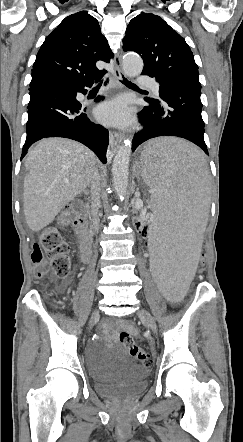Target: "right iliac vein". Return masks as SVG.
<instances>
[{
    "mask_svg": "<svg viewBox=\"0 0 243 442\" xmlns=\"http://www.w3.org/2000/svg\"><path fill=\"white\" fill-rule=\"evenodd\" d=\"M99 316H100L99 311L95 310L91 317L90 325H92L95 321H97L99 319Z\"/></svg>",
    "mask_w": 243,
    "mask_h": 442,
    "instance_id": "obj_1",
    "label": "right iliac vein"
}]
</instances>
